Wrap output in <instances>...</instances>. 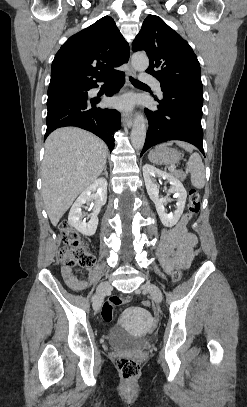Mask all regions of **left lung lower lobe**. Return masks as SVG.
I'll return each mask as SVG.
<instances>
[{
	"label": "left lung lower lobe",
	"mask_w": 247,
	"mask_h": 407,
	"mask_svg": "<svg viewBox=\"0 0 247 407\" xmlns=\"http://www.w3.org/2000/svg\"><path fill=\"white\" fill-rule=\"evenodd\" d=\"M158 110L145 109L149 128L141 156L152 146L181 140L195 145L205 156L201 126L203 92L182 88L162 89Z\"/></svg>",
	"instance_id": "obj_1"
}]
</instances>
